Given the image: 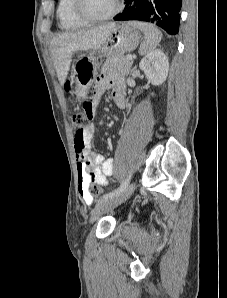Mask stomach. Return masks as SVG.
<instances>
[{"label": "stomach", "instance_id": "obj_1", "mask_svg": "<svg viewBox=\"0 0 227 298\" xmlns=\"http://www.w3.org/2000/svg\"><path fill=\"white\" fill-rule=\"evenodd\" d=\"M141 40L138 28L131 23L115 25L108 39L88 53L78 57L71 68V80L76 83L75 95L79 101L88 97L89 89L97 75L98 58L120 56L134 51Z\"/></svg>", "mask_w": 227, "mask_h": 298}]
</instances>
